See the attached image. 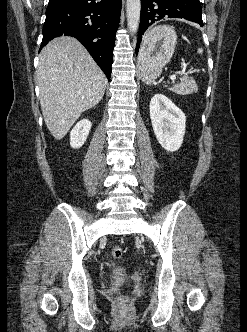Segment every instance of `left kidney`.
<instances>
[{
  "mask_svg": "<svg viewBox=\"0 0 247 332\" xmlns=\"http://www.w3.org/2000/svg\"><path fill=\"white\" fill-rule=\"evenodd\" d=\"M150 119L159 144L167 151H177L186 128V116L165 95L156 94L150 101Z\"/></svg>",
  "mask_w": 247,
  "mask_h": 332,
  "instance_id": "left-kidney-1",
  "label": "left kidney"
}]
</instances>
